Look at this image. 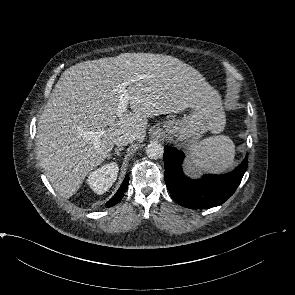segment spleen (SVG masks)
<instances>
[{"mask_svg":"<svg viewBox=\"0 0 295 295\" xmlns=\"http://www.w3.org/2000/svg\"><path fill=\"white\" fill-rule=\"evenodd\" d=\"M189 150L194 166L206 172L221 173L234 164L235 144L225 135L203 139Z\"/></svg>","mask_w":295,"mask_h":295,"instance_id":"obj_1","label":"spleen"}]
</instances>
